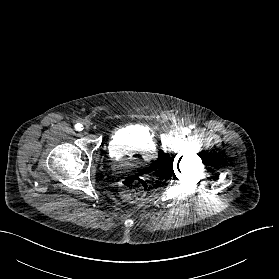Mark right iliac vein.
<instances>
[{
  "label": "right iliac vein",
  "mask_w": 279,
  "mask_h": 279,
  "mask_svg": "<svg viewBox=\"0 0 279 279\" xmlns=\"http://www.w3.org/2000/svg\"><path fill=\"white\" fill-rule=\"evenodd\" d=\"M88 130H89V127L86 126V127L84 128V132L86 133Z\"/></svg>",
  "instance_id": "1"
}]
</instances>
